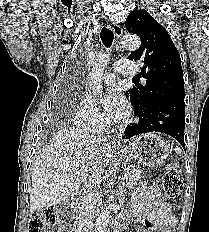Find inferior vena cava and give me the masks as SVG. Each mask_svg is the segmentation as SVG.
Masks as SVG:
<instances>
[{"label": "inferior vena cava", "instance_id": "1", "mask_svg": "<svg viewBox=\"0 0 209 232\" xmlns=\"http://www.w3.org/2000/svg\"><path fill=\"white\" fill-rule=\"evenodd\" d=\"M101 174L93 173L85 182L79 202L78 232H91L94 226V211L99 197Z\"/></svg>", "mask_w": 209, "mask_h": 232}]
</instances>
